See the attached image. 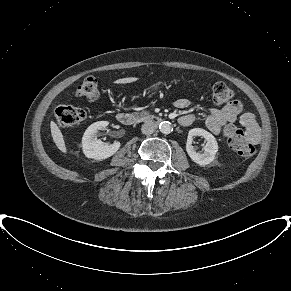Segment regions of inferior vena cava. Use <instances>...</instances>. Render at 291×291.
Here are the masks:
<instances>
[{"instance_id": "obj_1", "label": "inferior vena cava", "mask_w": 291, "mask_h": 291, "mask_svg": "<svg viewBox=\"0 0 291 291\" xmlns=\"http://www.w3.org/2000/svg\"><path fill=\"white\" fill-rule=\"evenodd\" d=\"M156 127L152 122H146L142 125L141 131L143 134L150 135L154 133Z\"/></svg>"}]
</instances>
